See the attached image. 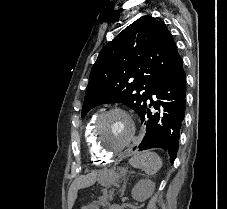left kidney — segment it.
Returning a JSON list of instances; mask_svg holds the SVG:
<instances>
[{"instance_id":"obj_1","label":"left kidney","mask_w":227,"mask_h":209,"mask_svg":"<svg viewBox=\"0 0 227 209\" xmlns=\"http://www.w3.org/2000/svg\"><path fill=\"white\" fill-rule=\"evenodd\" d=\"M155 191V183L150 181V179H141L139 183H136L134 189L131 191L133 199L136 201H144L151 197Z\"/></svg>"}]
</instances>
